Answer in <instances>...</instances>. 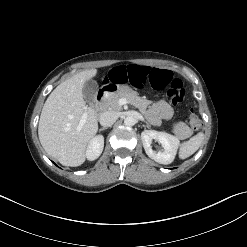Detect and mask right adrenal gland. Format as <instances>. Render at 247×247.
Here are the masks:
<instances>
[{"label":"right adrenal gland","instance_id":"1","mask_svg":"<svg viewBox=\"0 0 247 247\" xmlns=\"http://www.w3.org/2000/svg\"><path fill=\"white\" fill-rule=\"evenodd\" d=\"M106 129H107L106 127H103V128L100 129V131H103V130H106Z\"/></svg>","mask_w":247,"mask_h":247}]
</instances>
